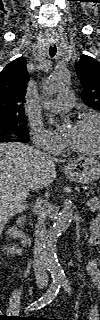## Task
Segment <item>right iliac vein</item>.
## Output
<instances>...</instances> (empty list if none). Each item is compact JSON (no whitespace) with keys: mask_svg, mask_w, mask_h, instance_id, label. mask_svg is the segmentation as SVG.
Returning a JSON list of instances; mask_svg holds the SVG:
<instances>
[{"mask_svg":"<svg viewBox=\"0 0 100 320\" xmlns=\"http://www.w3.org/2000/svg\"><path fill=\"white\" fill-rule=\"evenodd\" d=\"M43 287H44L43 285H40V286H39V288H43Z\"/></svg>","mask_w":100,"mask_h":320,"instance_id":"1","label":"right iliac vein"}]
</instances>
